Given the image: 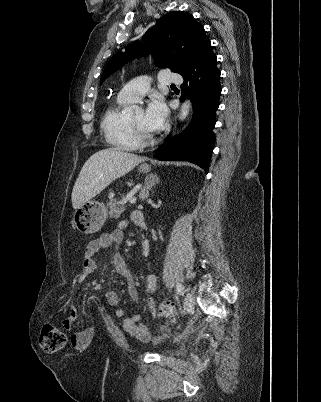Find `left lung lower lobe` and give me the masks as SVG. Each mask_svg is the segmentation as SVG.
<instances>
[{
    "instance_id": "0a47b994",
    "label": "left lung lower lobe",
    "mask_w": 321,
    "mask_h": 402,
    "mask_svg": "<svg viewBox=\"0 0 321 402\" xmlns=\"http://www.w3.org/2000/svg\"><path fill=\"white\" fill-rule=\"evenodd\" d=\"M181 75L184 78L182 95L188 94L191 98L193 118L181 134L158 148L157 157L164 161H189L208 172L215 144V113L221 93L220 71L210 40L201 46Z\"/></svg>"
}]
</instances>
